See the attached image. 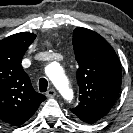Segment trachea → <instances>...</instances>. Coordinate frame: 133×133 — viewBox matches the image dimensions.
Returning a JSON list of instances; mask_svg holds the SVG:
<instances>
[{"label": "trachea", "mask_w": 133, "mask_h": 133, "mask_svg": "<svg viewBox=\"0 0 133 133\" xmlns=\"http://www.w3.org/2000/svg\"><path fill=\"white\" fill-rule=\"evenodd\" d=\"M48 87V81L45 78L39 80V90L40 92H45Z\"/></svg>", "instance_id": "trachea-1"}]
</instances>
